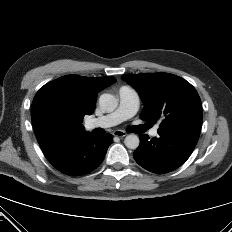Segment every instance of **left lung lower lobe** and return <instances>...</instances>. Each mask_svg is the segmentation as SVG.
Listing matches in <instances>:
<instances>
[{"instance_id":"obj_1","label":"left lung lower lobe","mask_w":232,"mask_h":232,"mask_svg":"<svg viewBox=\"0 0 232 232\" xmlns=\"http://www.w3.org/2000/svg\"><path fill=\"white\" fill-rule=\"evenodd\" d=\"M159 136L149 139L140 135V145L133 153L135 161L144 169L157 174L180 167L193 152L200 135L195 128L158 130Z\"/></svg>"}]
</instances>
